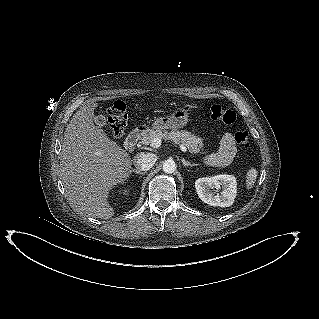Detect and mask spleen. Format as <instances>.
I'll return each instance as SVG.
<instances>
[{"label": "spleen", "mask_w": 319, "mask_h": 319, "mask_svg": "<svg viewBox=\"0 0 319 319\" xmlns=\"http://www.w3.org/2000/svg\"><path fill=\"white\" fill-rule=\"evenodd\" d=\"M257 173L258 171L254 167L248 170L246 175V186L248 189H251L254 186V183L257 178Z\"/></svg>", "instance_id": "obj_1"}]
</instances>
